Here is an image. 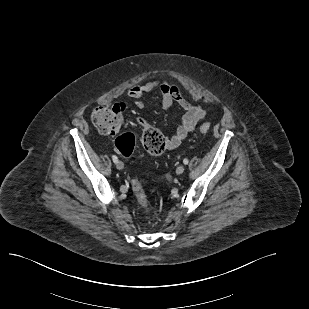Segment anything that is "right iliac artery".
<instances>
[{
  "label": "right iliac artery",
  "mask_w": 309,
  "mask_h": 309,
  "mask_svg": "<svg viewBox=\"0 0 309 309\" xmlns=\"http://www.w3.org/2000/svg\"><path fill=\"white\" fill-rule=\"evenodd\" d=\"M112 160H113L114 163H117V162H118L117 156H116V155H113V156H112Z\"/></svg>",
  "instance_id": "right-iliac-artery-1"
}]
</instances>
